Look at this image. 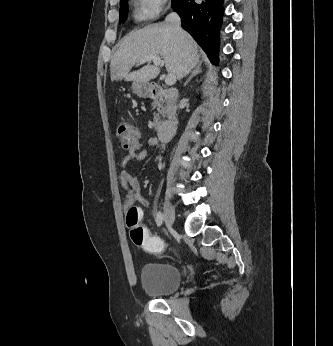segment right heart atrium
<instances>
[{"label": "right heart atrium", "mask_w": 333, "mask_h": 346, "mask_svg": "<svg viewBox=\"0 0 333 346\" xmlns=\"http://www.w3.org/2000/svg\"><path fill=\"white\" fill-rule=\"evenodd\" d=\"M167 0H136L137 16L140 20L156 18L166 5Z\"/></svg>", "instance_id": "d8ad5b80"}]
</instances>
